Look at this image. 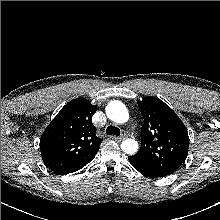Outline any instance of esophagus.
<instances>
[{
	"mask_svg": "<svg viewBox=\"0 0 220 220\" xmlns=\"http://www.w3.org/2000/svg\"><path fill=\"white\" fill-rule=\"evenodd\" d=\"M126 138V136H121V137H114V140L117 142H121L122 140H124Z\"/></svg>",
	"mask_w": 220,
	"mask_h": 220,
	"instance_id": "obj_1",
	"label": "esophagus"
}]
</instances>
